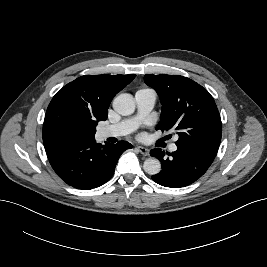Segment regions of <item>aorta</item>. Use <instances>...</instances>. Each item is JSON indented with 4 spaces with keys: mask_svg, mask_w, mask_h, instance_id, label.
I'll list each match as a JSON object with an SVG mask.
<instances>
[{
    "mask_svg": "<svg viewBox=\"0 0 267 267\" xmlns=\"http://www.w3.org/2000/svg\"><path fill=\"white\" fill-rule=\"evenodd\" d=\"M113 108L120 115L128 116L135 111V101L131 95H119L113 100ZM143 169L150 175H156L161 171V163L156 158H148Z\"/></svg>",
    "mask_w": 267,
    "mask_h": 267,
    "instance_id": "1",
    "label": "aorta"
}]
</instances>
